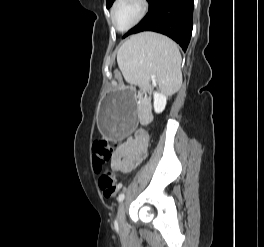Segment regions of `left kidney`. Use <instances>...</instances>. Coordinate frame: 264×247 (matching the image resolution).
<instances>
[{"label": "left kidney", "instance_id": "5707ae66", "mask_svg": "<svg viewBox=\"0 0 264 247\" xmlns=\"http://www.w3.org/2000/svg\"><path fill=\"white\" fill-rule=\"evenodd\" d=\"M154 110L156 113H161L166 106L167 103V95L160 93V92H154Z\"/></svg>", "mask_w": 264, "mask_h": 247}]
</instances>
